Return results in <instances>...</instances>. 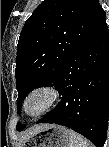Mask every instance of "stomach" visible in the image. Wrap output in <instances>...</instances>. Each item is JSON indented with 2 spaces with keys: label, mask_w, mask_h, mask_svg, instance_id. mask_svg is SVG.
Segmentation results:
<instances>
[{
  "label": "stomach",
  "mask_w": 109,
  "mask_h": 147,
  "mask_svg": "<svg viewBox=\"0 0 109 147\" xmlns=\"http://www.w3.org/2000/svg\"><path fill=\"white\" fill-rule=\"evenodd\" d=\"M70 130L48 125L22 142V147H68Z\"/></svg>",
  "instance_id": "obj_1"
}]
</instances>
